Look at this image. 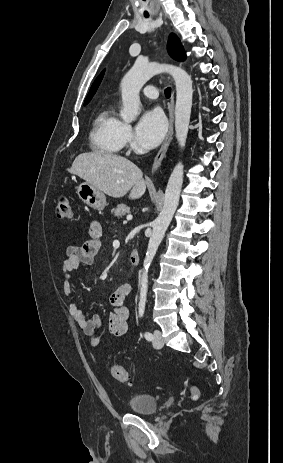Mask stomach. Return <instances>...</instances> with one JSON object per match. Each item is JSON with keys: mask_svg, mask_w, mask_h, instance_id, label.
I'll list each match as a JSON object with an SVG mask.
<instances>
[{"mask_svg": "<svg viewBox=\"0 0 283 463\" xmlns=\"http://www.w3.org/2000/svg\"><path fill=\"white\" fill-rule=\"evenodd\" d=\"M79 198L94 210L101 211L106 206V196L93 184L83 182L77 186Z\"/></svg>", "mask_w": 283, "mask_h": 463, "instance_id": "obj_1", "label": "stomach"}]
</instances>
